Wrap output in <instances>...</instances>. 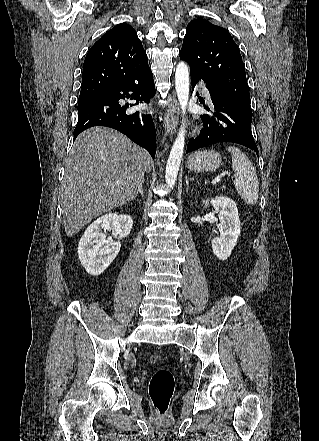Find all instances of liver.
Returning <instances> with one entry per match:
<instances>
[{
    "instance_id": "6515ba94",
    "label": "liver",
    "mask_w": 319,
    "mask_h": 441,
    "mask_svg": "<svg viewBox=\"0 0 319 441\" xmlns=\"http://www.w3.org/2000/svg\"><path fill=\"white\" fill-rule=\"evenodd\" d=\"M151 165L148 152L122 133L101 126L83 131L69 153L61 183L66 235L74 236L92 219L130 202Z\"/></svg>"
}]
</instances>
